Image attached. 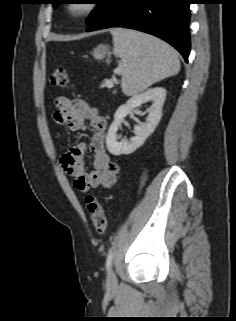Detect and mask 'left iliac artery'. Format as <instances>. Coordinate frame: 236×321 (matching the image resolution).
<instances>
[{
	"mask_svg": "<svg viewBox=\"0 0 236 321\" xmlns=\"http://www.w3.org/2000/svg\"><path fill=\"white\" fill-rule=\"evenodd\" d=\"M113 252L110 251L108 256H107V259H106V267H107V270L110 269L111 265H112V260H113Z\"/></svg>",
	"mask_w": 236,
	"mask_h": 321,
	"instance_id": "obj_1",
	"label": "left iliac artery"
}]
</instances>
